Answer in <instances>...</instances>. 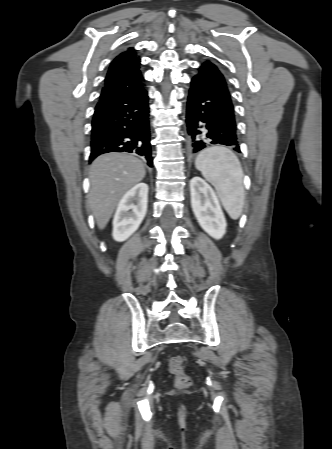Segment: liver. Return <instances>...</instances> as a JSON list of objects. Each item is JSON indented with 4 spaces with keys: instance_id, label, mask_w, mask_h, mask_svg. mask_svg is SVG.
<instances>
[{
    "instance_id": "6515ba94",
    "label": "liver",
    "mask_w": 332,
    "mask_h": 449,
    "mask_svg": "<svg viewBox=\"0 0 332 449\" xmlns=\"http://www.w3.org/2000/svg\"><path fill=\"white\" fill-rule=\"evenodd\" d=\"M141 160L126 153L97 157L89 171L88 205L99 229H104L123 195L145 177Z\"/></svg>"
}]
</instances>
